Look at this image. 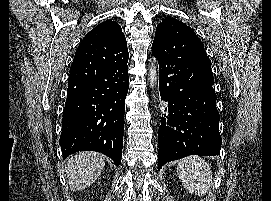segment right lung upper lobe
I'll return each mask as SVG.
<instances>
[{
	"label": "right lung upper lobe",
	"instance_id": "obj_1",
	"mask_svg": "<svg viewBox=\"0 0 271 201\" xmlns=\"http://www.w3.org/2000/svg\"><path fill=\"white\" fill-rule=\"evenodd\" d=\"M99 39L113 40L125 48L126 51L124 52H128L124 33L122 32L121 27L115 21L106 20L98 24L94 29L87 33L83 41H95Z\"/></svg>",
	"mask_w": 271,
	"mask_h": 201
}]
</instances>
